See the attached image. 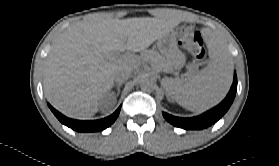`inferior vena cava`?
Returning <instances> with one entry per match:
<instances>
[{"instance_id": "1", "label": "inferior vena cava", "mask_w": 279, "mask_h": 166, "mask_svg": "<svg viewBox=\"0 0 279 166\" xmlns=\"http://www.w3.org/2000/svg\"><path fill=\"white\" fill-rule=\"evenodd\" d=\"M133 69L130 66L122 67L114 73V80L117 83L126 81L131 77Z\"/></svg>"}]
</instances>
